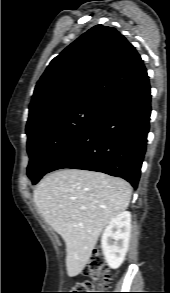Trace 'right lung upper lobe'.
<instances>
[{"instance_id": "cb5924a9", "label": "right lung upper lobe", "mask_w": 170, "mask_h": 293, "mask_svg": "<svg viewBox=\"0 0 170 293\" xmlns=\"http://www.w3.org/2000/svg\"><path fill=\"white\" fill-rule=\"evenodd\" d=\"M145 77L134 46L115 28L96 25L50 62L35 87L26 129L79 104L102 105Z\"/></svg>"}]
</instances>
